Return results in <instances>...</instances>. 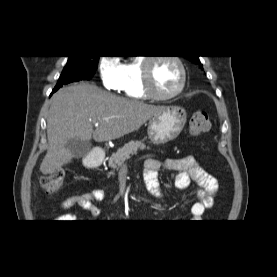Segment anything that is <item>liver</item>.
<instances>
[{
	"label": "liver",
	"instance_id": "obj_1",
	"mask_svg": "<svg viewBox=\"0 0 277 277\" xmlns=\"http://www.w3.org/2000/svg\"><path fill=\"white\" fill-rule=\"evenodd\" d=\"M164 109L117 97L87 83L63 87L53 95L48 111V150L40 171L50 174L71 162L73 155L66 148L69 139L115 140L138 130ZM94 121L98 123L95 130Z\"/></svg>",
	"mask_w": 277,
	"mask_h": 277
}]
</instances>
